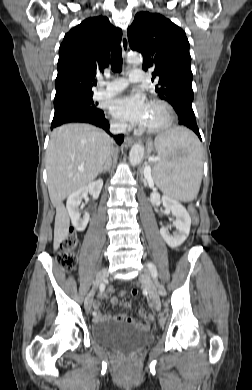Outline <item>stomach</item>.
Here are the masks:
<instances>
[{"mask_svg":"<svg viewBox=\"0 0 252 390\" xmlns=\"http://www.w3.org/2000/svg\"><path fill=\"white\" fill-rule=\"evenodd\" d=\"M151 150H152V146L150 145V146H149V151H151ZM167 158H168V159H171V156H168Z\"/></svg>","mask_w":252,"mask_h":390,"instance_id":"obj_1","label":"stomach"}]
</instances>
